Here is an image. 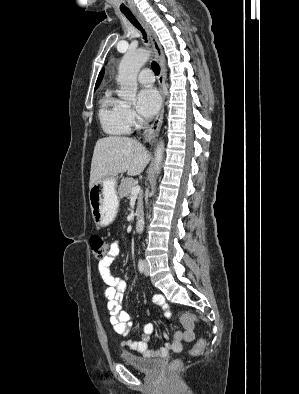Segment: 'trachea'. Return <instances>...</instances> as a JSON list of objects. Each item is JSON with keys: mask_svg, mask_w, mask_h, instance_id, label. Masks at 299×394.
Instances as JSON below:
<instances>
[{"mask_svg": "<svg viewBox=\"0 0 299 394\" xmlns=\"http://www.w3.org/2000/svg\"><path fill=\"white\" fill-rule=\"evenodd\" d=\"M125 16H126V18L137 28V29H139L141 32H142V34H143V38L146 40V42H147V35H146V33H145V30L142 28V26L140 25V23L137 21V19L134 17V15L132 14V12L131 11H121ZM152 69H153V71H154V73L156 74V75H159V73H160V68H159V66H158V64L156 63V62H152Z\"/></svg>", "mask_w": 299, "mask_h": 394, "instance_id": "trachea-1", "label": "trachea"}]
</instances>
